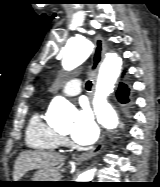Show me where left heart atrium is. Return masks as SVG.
Masks as SVG:
<instances>
[{
    "mask_svg": "<svg viewBox=\"0 0 160 187\" xmlns=\"http://www.w3.org/2000/svg\"><path fill=\"white\" fill-rule=\"evenodd\" d=\"M99 135L98 126L88 107H82L76 116L71 137L73 141L80 145H90L94 143Z\"/></svg>",
    "mask_w": 160,
    "mask_h": 187,
    "instance_id": "39dd6f15",
    "label": "left heart atrium"
}]
</instances>
